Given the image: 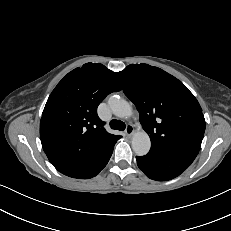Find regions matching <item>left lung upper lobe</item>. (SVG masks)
<instances>
[{
    "mask_svg": "<svg viewBox=\"0 0 231 231\" xmlns=\"http://www.w3.org/2000/svg\"><path fill=\"white\" fill-rule=\"evenodd\" d=\"M135 104L153 152L194 160L205 132L202 109L187 87L164 70L131 64L116 73Z\"/></svg>",
    "mask_w": 231,
    "mask_h": 231,
    "instance_id": "5c2ea615",
    "label": "left lung upper lobe"
}]
</instances>
